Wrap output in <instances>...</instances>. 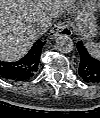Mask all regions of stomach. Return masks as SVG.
I'll use <instances>...</instances> for the list:
<instances>
[{"label": "stomach", "mask_w": 100, "mask_h": 118, "mask_svg": "<svg viewBox=\"0 0 100 118\" xmlns=\"http://www.w3.org/2000/svg\"><path fill=\"white\" fill-rule=\"evenodd\" d=\"M74 27H76L79 34L88 41H92L97 35V18L94 9L90 5L84 6L81 11H79L74 20Z\"/></svg>", "instance_id": "stomach-1"}]
</instances>
